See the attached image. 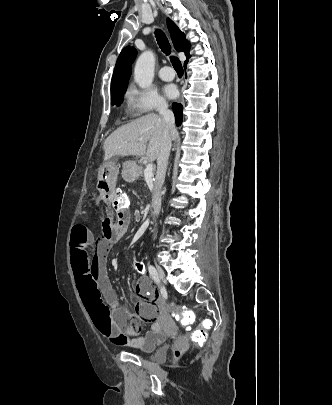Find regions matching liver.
I'll return each instance as SVG.
<instances>
[{"mask_svg":"<svg viewBox=\"0 0 332 405\" xmlns=\"http://www.w3.org/2000/svg\"><path fill=\"white\" fill-rule=\"evenodd\" d=\"M165 132L163 118L148 114L115 130L104 142V160L113 156H146L154 161L158 158ZM175 130L171 139H177ZM147 142L148 146H147Z\"/></svg>","mask_w":332,"mask_h":405,"instance_id":"obj_1","label":"liver"}]
</instances>
